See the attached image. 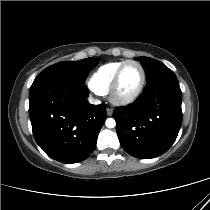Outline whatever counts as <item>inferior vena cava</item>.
I'll list each match as a JSON object with an SVG mask.
<instances>
[{
  "label": "inferior vena cava",
  "instance_id": "inferior-vena-cava-1",
  "mask_svg": "<svg viewBox=\"0 0 210 210\" xmlns=\"http://www.w3.org/2000/svg\"><path fill=\"white\" fill-rule=\"evenodd\" d=\"M88 101H89L91 104H99V103H100L99 100L94 99L93 97H89V98H88Z\"/></svg>",
  "mask_w": 210,
  "mask_h": 210
}]
</instances>
